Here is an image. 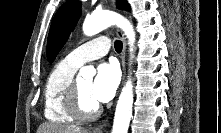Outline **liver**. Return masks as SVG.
Returning a JSON list of instances; mask_svg holds the SVG:
<instances>
[{"label":"liver","instance_id":"obj_1","mask_svg":"<svg viewBox=\"0 0 221 133\" xmlns=\"http://www.w3.org/2000/svg\"><path fill=\"white\" fill-rule=\"evenodd\" d=\"M37 133H89L87 129H83L75 126H66L55 123L42 124Z\"/></svg>","mask_w":221,"mask_h":133}]
</instances>
